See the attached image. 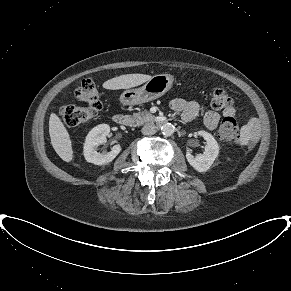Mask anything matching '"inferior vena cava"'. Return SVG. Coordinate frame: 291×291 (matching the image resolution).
Wrapping results in <instances>:
<instances>
[{
    "label": "inferior vena cava",
    "instance_id": "inferior-vena-cava-1",
    "mask_svg": "<svg viewBox=\"0 0 291 291\" xmlns=\"http://www.w3.org/2000/svg\"><path fill=\"white\" fill-rule=\"evenodd\" d=\"M141 131L143 135H153L156 133V127L152 123H147L143 126Z\"/></svg>",
    "mask_w": 291,
    "mask_h": 291
}]
</instances>
